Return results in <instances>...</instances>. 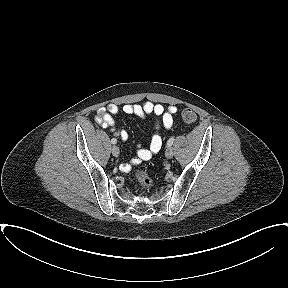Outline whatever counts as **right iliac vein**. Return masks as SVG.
<instances>
[{"label": "right iliac vein", "instance_id": "right-iliac-vein-1", "mask_svg": "<svg viewBox=\"0 0 288 288\" xmlns=\"http://www.w3.org/2000/svg\"><path fill=\"white\" fill-rule=\"evenodd\" d=\"M112 154H113L114 157H118L119 156L120 150H119V148L117 146H113L112 147Z\"/></svg>", "mask_w": 288, "mask_h": 288}]
</instances>
